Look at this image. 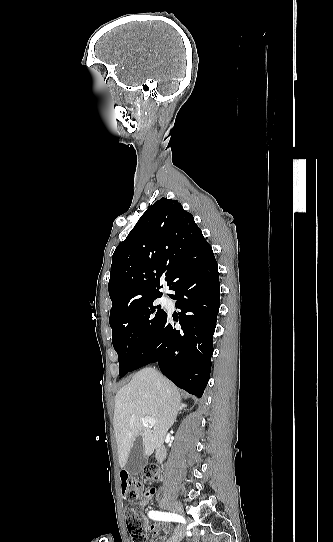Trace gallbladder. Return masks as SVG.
Returning a JSON list of instances; mask_svg holds the SVG:
<instances>
[{
  "mask_svg": "<svg viewBox=\"0 0 333 542\" xmlns=\"http://www.w3.org/2000/svg\"><path fill=\"white\" fill-rule=\"evenodd\" d=\"M146 464L147 456H145L142 438L141 436H138L129 454L125 470H127L130 476H138V474L142 472L143 468H145Z\"/></svg>",
  "mask_w": 333,
  "mask_h": 542,
  "instance_id": "obj_1",
  "label": "gallbladder"
}]
</instances>
